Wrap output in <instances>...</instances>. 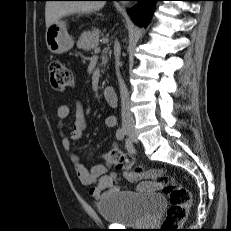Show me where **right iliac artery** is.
<instances>
[{
  "label": "right iliac artery",
  "mask_w": 231,
  "mask_h": 231,
  "mask_svg": "<svg viewBox=\"0 0 231 231\" xmlns=\"http://www.w3.org/2000/svg\"><path fill=\"white\" fill-rule=\"evenodd\" d=\"M125 136V130L123 128H119L116 132V137L118 140H123Z\"/></svg>",
  "instance_id": "obj_1"
}]
</instances>
